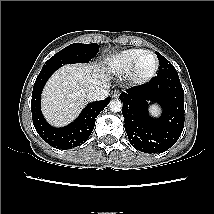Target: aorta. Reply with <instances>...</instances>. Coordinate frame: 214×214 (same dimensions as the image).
<instances>
[{"label":"aorta","instance_id":"obj_1","mask_svg":"<svg viewBox=\"0 0 214 214\" xmlns=\"http://www.w3.org/2000/svg\"><path fill=\"white\" fill-rule=\"evenodd\" d=\"M112 112H119L122 110V102L119 99H114L109 104Z\"/></svg>","mask_w":214,"mask_h":214}]
</instances>
